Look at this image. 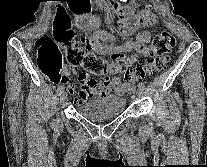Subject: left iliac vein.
Wrapping results in <instances>:
<instances>
[{
	"mask_svg": "<svg viewBox=\"0 0 207 167\" xmlns=\"http://www.w3.org/2000/svg\"><path fill=\"white\" fill-rule=\"evenodd\" d=\"M136 95L138 97H141L143 95V90L141 88H138L137 91H136Z\"/></svg>",
	"mask_w": 207,
	"mask_h": 167,
	"instance_id": "left-iliac-vein-1",
	"label": "left iliac vein"
}]
</instances>
